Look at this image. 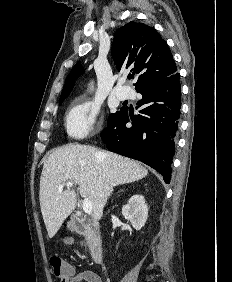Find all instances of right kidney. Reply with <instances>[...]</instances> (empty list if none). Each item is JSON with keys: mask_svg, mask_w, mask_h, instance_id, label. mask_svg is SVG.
<instances>
[{"mask_svg": "<svg viewBox=\"0 0 232 282\" xmlns=\"http://www.w3.org/2000/svg\"><path fill=\"white\" fill-rule=\"evenodd\" d=\"M122 215L130 221L134 229L140 230L148 218V206L144 196L134 195L128 203L122 207Z\"/></svg>", "mask_w": 232, "mask_h": 282, "instance_id": "1", "label": "right kidney"}]
</instances>
